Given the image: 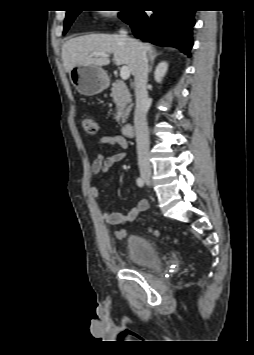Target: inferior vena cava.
<instances>
[{"mask_svg": "<svg viewBox=\"0 0 254 355\" xmlns=\"http://www.w3.org/2000/svg\"><path fill=\"white\" fill-rule=\"evenodd\" d=\"M120 35L127 38V32L125 30H121ZM147 80L148 59L146 52L141 47H137L136 68L134 72V90L136 97L134 125L136 130L138 165L140 169H150L149 131L146 119L149 109V99L146 89Z\"/></svg>", "mask_w": 254, "mask_h": 355, "instance_id": "obj_1", "label": "inferior vena cava"}]
</instances>
